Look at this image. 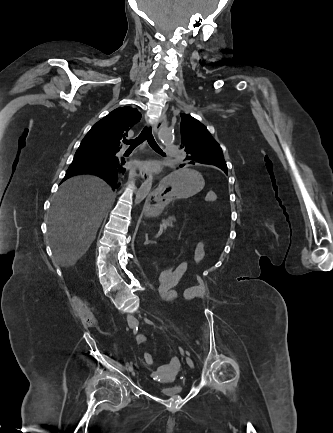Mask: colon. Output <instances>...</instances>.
<instances>
[{
  "instance_id": "colon-1",
  "label": "colon",
  "mask_w": 333,
  "mask_h": 433,
  "mask_svg": "<svg viewBox=\"0 0 333 433\" xmlns=\"http://www.w3.org/2000/svg\"><path fill=\"white\" fill-rule=\"evenodd\" d=\"M206 201L215 202L217 197L216 194L212 191L208 192L206 195ZM179 261H183V258H179ZM174 265H177V262H174ZM167 269L162 270L161 274L158 276V279L160 280L161 286L167 285V280H171V278L174 275V272L172 269H174V266L167 265ZM74 306L76 308L77 315L79 319L81 320L82 324L85 326H93L95 324V318L91 311L89 310L88 304L86 301L75 298L74 299ZM144 361L148 365L154 364V358L151 354L146 353L144 355Z\"/></svg>"
}]
</instances>
